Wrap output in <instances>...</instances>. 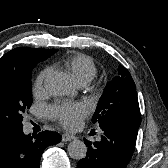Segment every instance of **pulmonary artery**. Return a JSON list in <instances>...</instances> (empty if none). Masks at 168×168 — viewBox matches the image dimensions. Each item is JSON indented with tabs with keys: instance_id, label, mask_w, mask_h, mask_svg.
<instances>
[{
	"instance_id": "e3ab8cb5",
	"label": "pulmonary artery",
	"mask_w": 168,
	"mask_h": 168,
	"mask_svg": "<svg viewBox=\"0 0 168 168\" xmlns=\"http://www.w3.org/2000/svg\"><path fill=\"white\" fill-rule=\"evenodd\" d=\"M88 85V82H81L79 83L80 87H86Z\"/></svg>"
}]
</instances>
